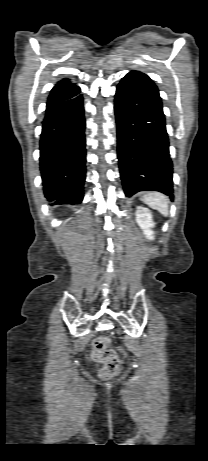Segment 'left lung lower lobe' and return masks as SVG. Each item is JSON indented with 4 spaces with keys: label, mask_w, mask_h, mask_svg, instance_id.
Returning a JSON list of instances; mask_svg holds the SVG:
<instances>
[{
    "label": "left lung lower lobe",
    "mask_w": 208,
    "mask_h": 461,
    "mask_svg": "<svg viewBox=\"0 0 208 461\" xmlns=\"http://www.w3.org/2000/svg\"><path fill=\"white\" fill-rule=\"evenodd\" d=\"M114 109L125 195L154 190L173 200L172 161L156 85L144 73L129 72L117 86Z\"/></svg>",
    "instance_id": "obj_1"
}]
</instances>
